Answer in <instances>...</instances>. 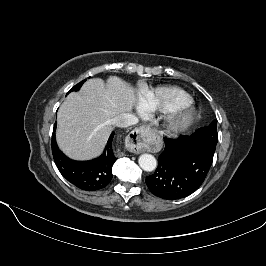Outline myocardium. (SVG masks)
Returning a JSON list of instances; mask_svg holds the SVG:
<instances>
[{
    "instance_id": "obj_1",
    "label": "myocardium",
    "mask_w": 266,
    "mask_h": 266,
    "mask_svg": "<svg viewBox=\"0 0 266 266\" xmlns=\"http://www.w3.org/2000/svg\"><path fill=\"white\" fill-rule=\"evenodd\" d=\"M196 111L190 105L169 113L165 121V131L169 135H179L185 132L193 123Z\"/></svg>"
}]
</instances>
